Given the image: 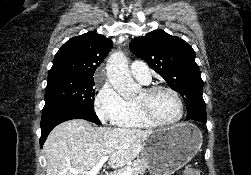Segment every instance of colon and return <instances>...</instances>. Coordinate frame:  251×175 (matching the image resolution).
<instances>
[{
	"label": "colon",
	"mask_w": 251,
	"mask_h": 175,
	"mask_svg": "<svg viewBox=\"0 0 251 175\" xmlns=\"http://www.w3.org/2000/svg\"><path fill=\"white\" fill-rule=\"evenodd\" d=\"M183 175H202V173L193 165H185L183 168Z\"/></svg>",
	"instance_id": "1"
}]
</instances>
